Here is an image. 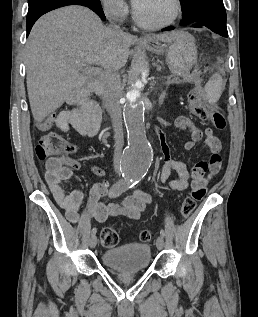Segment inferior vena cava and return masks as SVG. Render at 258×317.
<instances>
[{
	"label": "inferior vena cava",
	"instance_id": "602c4592",
	"mask_svg": "<svg viewBox=\"0 0 258 317\" xmlns=\"http://www.w3.org/2000/svg\"><path fill=\"white\" fill-rule=\"evenodd\" d=\"M110 26H113V30H116V32H120L121 30L120 26L115 24V22H112ZM118 84H120V80H118L116 72H114L112 68H106V78L103 86V100L111 116L112 126L114 128L115 148L113 154V167L115 171H118L119 169L124 142L121 106L120 104H116L114 100Z\"/></svg>",
	"mask_w": 258,
	"mask_h": 317
}]
</instances>
